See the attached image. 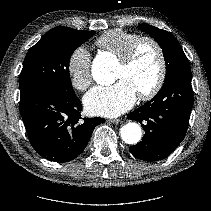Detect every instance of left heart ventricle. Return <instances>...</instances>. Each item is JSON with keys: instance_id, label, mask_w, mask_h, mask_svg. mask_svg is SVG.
Returning <instances> with one entry per match:
<instances>
[{"instance_id": "obj_1", "label": "left heart ventricle", "mask_w": 211, "mask_h": 211, "mask_svg": "<svg viewBox=\"0 0 211 211\" xmlns=\"http://www.w3.org/2000/svg\"><path fill=\"white\" fill-rule=\"evenodd\" d=\"M159 71V60L155 48L144 44L140 48L133 64L124 68L119 64L114 80H127L139 94L147 91L154 84Z\"/></svg>"}]
</instances>
